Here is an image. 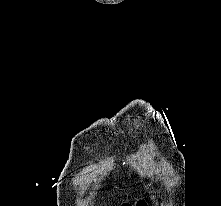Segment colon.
Segmentation results:
<instances>
[{"instance_id":"colon-1","label":"colon","mask_w":221,"mask_h":206,"mask_svg":"<svg viewBox=\"0 0 221 206\" xmlns=\"http://www.w3.org/2000/svg\"><path fill=\"white\" fill-rule=\"evenodd\" d=\"M122 206H131L130 204H123ZM137 206H145L144 201H138Z\"/></svg>"}]
</instances>
